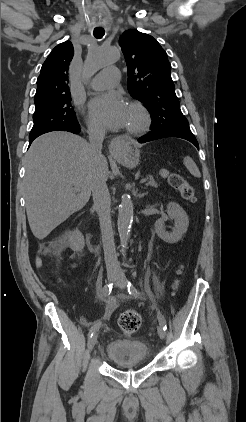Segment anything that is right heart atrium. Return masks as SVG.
I'll list each match as a JSON object with an SVG mask.
<instances>
[{"mask_svg": "<svg viewBox=\"0 0 246 422\" xmlns=\"http://www.w3.org/2000/svg\"><path fill=\"white\" fill-rule=\"evenodd\" d=\"M87 129L89 131V133L93 134V135H100L102 134L103 130L101 127H99L98 125L87 121Z\"/></svg>", "mask_w": 246, "mask_h": 422, "instance_id": "d8ad5b80", "label": "right heart atrium"}]
</instances>
